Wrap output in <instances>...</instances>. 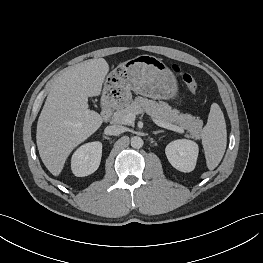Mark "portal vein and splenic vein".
<instances>
[{
	"mask_svg": "<svg viewBox=\"0 0 263 263\" xmlns=\"http://www.w3.org/2000/svg\"><path fill=\"white\" fill-rule=\"evenodd\" d=\"M134 120H135V114H133V113H130L127 116H125V121H127L129 123H133ZM153 122L156 125L163 127V128H166L168 130L176 131L178 133H184V129L182 127H179V126L174 125L172 123H167V122H163V121L156 120V119H153Z\"/></svg>",
	"mask_w": 263,
	"mask_h": 263,
	"instance_id": "portal-vein-and-splenic-vein-1",
	"label": "portal vein and splenic vein"
}]
</instances>
